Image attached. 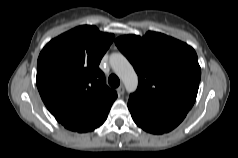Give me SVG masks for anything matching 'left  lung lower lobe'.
Returning a JSON list of instances; mask_svg holds the SVG:
<instances>
[{"instance_id":"obj_1","label":"left lung lower lobe","mask_w":238,"mask_h":158,"mask_svg":"<svg viewBox=\"0 0 238 158\" xmlns=\"http://www.w3.org/2000/svg\"><path fill=\"white\" fill-rule=\"evenodd\" d=\"M128 108L134 122L147 132L162 134L174 129L186 116L189 109L174 108L150 111L128 101Z\"/></svg>"}]
</instances>
